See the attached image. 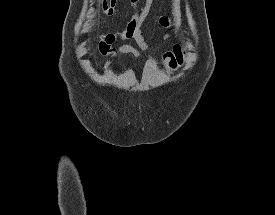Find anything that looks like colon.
Returning a JSON list of instances; mask_svg holds the SVG:
<instances>
[{
	"instance_id": "5ec220e1",
	"label": "colon",
	"mask_w": 275,
	"mask_h": 215,
	"mask_svg": "<svg viewBox=\"0 0 275 215\" xmlns=\"http://www.w3.org/2000/svg\"><path fill=\"white\" fill-rule=\"evenodd\" d=\"M107 0H105L106 2ZM118 0H108L109 7L113 9ZM186 52L185 49L176 44L172 49L166 51L161 58L160 64L163 68H166L170 71H176L179 69L185 62Z\"/></svg>"
}]
</instances>
